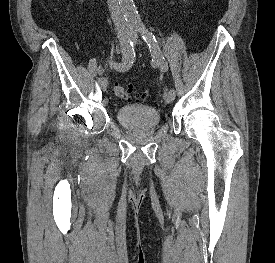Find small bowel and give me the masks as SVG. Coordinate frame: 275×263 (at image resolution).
<instances>
[{
  "instance_id": "c3829d8e",
  "label": "small bowel",
  "mask_w": 275,
  "mask_h": 263,
  "mask_svg": "<svg viewBox=\"0 0 275 263\" xmlns=\"http://www.w3.org/2000/svg\"><path fill=\"white\" fill-rule=\"evenodd\" d=\"M105 70H109V66L108 65H105Z\"/></svg>"
}]
</instances>
